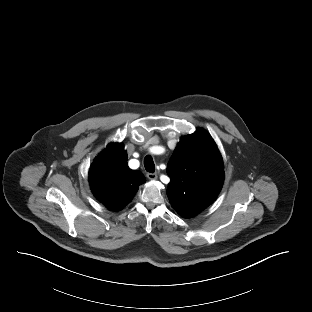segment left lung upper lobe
<instances>
[{"instance_id":"obj_1","label":"left lung upper lobe","mask_w":312,"mask_h":312,"mask_svg":"<svg viewBox=\"0 0 312 312\" xmlns=\"http://www.w3.org/2000/svg\"><path fill=\"white\" fill-rule=\"evenodd\" d=\"M167 172L171 178L167 196L183 217L195 216L210 205L224 180L220 152L203 129L180 141L168 162Z\"/></svg>"}]
</instances>
